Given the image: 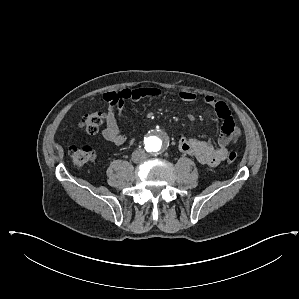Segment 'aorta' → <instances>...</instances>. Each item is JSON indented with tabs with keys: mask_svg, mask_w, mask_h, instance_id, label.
Instances as JSON below:
<instances>
[{
	"mask_svg": "<svg viewBox=\"0 0 299 299\" xmlns=\"http://www.w3.org/2000/svg\"><path fill=\"white\" fill-rule=\"evenodd\" d=\"M167 144V137L162 132H152L144 140L145 149L152 155L159 154Z\"/></svg>",
	"mask_w": 299,
	"mask_h": 299,
	"instance_id": "762f6f07",
	"label": "aorta"
}]
</instances>
